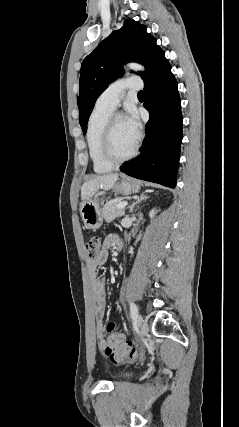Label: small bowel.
<instances>
[{"instance_id":"small-bowel-1","label":"small bowel","mask_w":239,"mask_h":427,"mask_svg":"<svg viewBox=\"0 0 239 427\" xmlns=\"http://www.w3.org/2000/svg\"><path fill=\"white\" fill-rule=\"evenodd\" d=\"M117 244V238L114 235L106 237L102 248L97 256L86 261L87 273L90 283V302L95 317L98 331V344L101 348L105 347V340L102 332L103 315L105 309V282L97 274V268L103 265L108 259V248Z\"/></svg>"}]
</instances>
